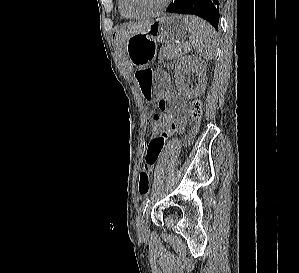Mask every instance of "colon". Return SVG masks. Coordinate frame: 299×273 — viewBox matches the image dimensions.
<instances>
[{"label": "colon", "mask_w": 299, "mask_h": 273, "mask_svg": "<svg viewBox=\"0 0 299 273\" xmlns=\"http://www.w3.org/2000/svg\"><path fill=\"white\" fill-rule=\"evenodd\" d=\"M189 115L194 122H197L202 115V106L200 101L196 100L192 102L189 107ZM170 123V117L166 113H155L151 126V137L160 136L166 131ZM151 185V178L147 171L143 170L138 176L137 191L141 196H145L149 193Z\"/></svg>", "instance_id": "colon-1"}]
</instances>
